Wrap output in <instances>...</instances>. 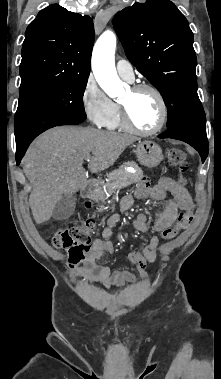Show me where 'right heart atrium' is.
Returning <instances> with one entry per match:
<instances>
[{"label": "right heart atrium", "mask_w": 221, "mask_h": 379, "mask_svg": "<svg viewBox=\"0 0 221 379\" xmlns=\"http://www.w3.org/2000/svg\"><path fill=\"white\" fill-rule=\"evenodd\" d=\"M81 103L88 119L97 126H104L114 110L113 101L91 76L83 87Z\"/></svg>", "instance_id": "obj_1"}]
</instances>
